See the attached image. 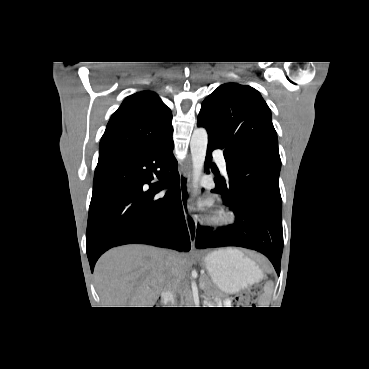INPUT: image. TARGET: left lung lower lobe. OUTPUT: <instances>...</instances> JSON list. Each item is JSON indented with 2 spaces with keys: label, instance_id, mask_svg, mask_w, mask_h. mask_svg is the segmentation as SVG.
<instances>
[{
  "label": "left lung lower lobe",
  "instance_id": "obj_1",
  "mask_svg": "<svg viewBox=\"0 0 369 369\" xmlns=\"http://www.w3.org/2000/svg\"><path fill=\"white\" fill-rule=\"evenodd\" d=\"M217 148L221 149L220 145L208 136L207 169L212 159L211 152ZM227 163L226 160V166ZM214 181L216 187L211 192L222 195L223 204L235 214V222L216 230L198 225L196 247L239 246L256 250L269 258L279 275L283 250L280 193L255 182L240 184L234 180L226 182L222 178Z\"/></svg>",
  "mask_w": 369,
  "mask_h": 369
}]
</instances>
